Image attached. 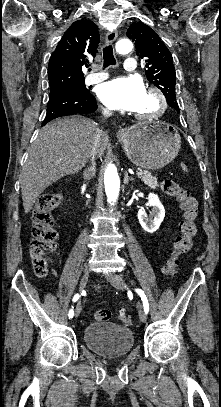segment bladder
<instances>
[{"instance_id":"obj_1","label":"bladder","mask_w":221,"mask_h":407,"mask_svg":"<svg viewBox=\"0 0 221 407\" xmlns=\"http://www.w3.org/2000/svg\"><path fill=\"white\" fill-rule=\"evenodd\" d=\"M83 339L91 351L105 358H115L131 351L134 333L127 326L100 322L86 326Z\"/></svg>"}]
</instances>
